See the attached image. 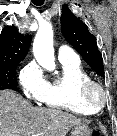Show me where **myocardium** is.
<instances>
[{
    "instance_id": "1",
    "label": "myocardium",
    "mask_w": 117,
    "mask_h": 136,
    "mask_svg": "<svg viewBox=\"0 0 117 136\" xmlns=\"http://www.w3.org/2000/svg\"><path fill=\"white\" fill-rule=\"evenodd\" d=\"M79 96L85 105L97 111L104 108L109 100V95L104 87L92 79L81 83Z\"/></svg>"
}]
</instances>
